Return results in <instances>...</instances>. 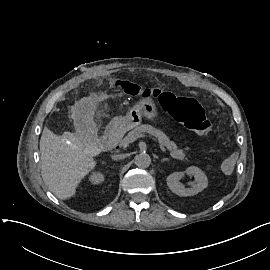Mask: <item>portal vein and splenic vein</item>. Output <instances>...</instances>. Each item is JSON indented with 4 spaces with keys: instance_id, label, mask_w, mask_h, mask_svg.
Masks as SVG:
<instances>
[{
    "instance_id": "portal-vein-and-splenic-vein-1",
    "label": "portal vein and splenic vein",
    "mask_w": 270,
    "mask_h": 270,
    "mask_svg": "<svg viewBox=\"0 0 270 270\" xmlns=\"http://www.w3.org/2000/svg\"><path fill=\"white\" fill-rule=\"evenodd\" d=\"M144 137H148V134H139L138 136L137 135H134V136H132V135H129V136H127V138H126V141H127V143H129V144H132V143H134V142H137L138 140L139 141H142L143 139H144ZM157 146L164 152V153H167L166 151V149L164 148V146L163 145H161L160 144V142H157Z\"/></svg>"
}]
</instances>
